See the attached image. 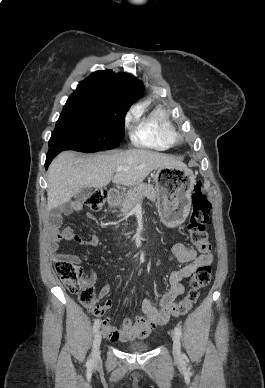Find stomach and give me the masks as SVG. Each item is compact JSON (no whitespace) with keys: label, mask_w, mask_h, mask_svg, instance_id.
Returning <instances> with one entry per match:
<instances>
[{"label":"stomach","mask_w":265,"mask_h":388,"mask_svg":"<svg viewBox=\"0 0 265 388\" xmlns=\"http://www.w3.org/2000/svg\"><path fill=\"white\" fill-rule=\"evenodd\" d=\"M156 205L163 222L175 227L184 222L191 208L195 176L187 167H159L154 176Z\"/></svg>","instance_id":"obj_1"}]
</instances>
